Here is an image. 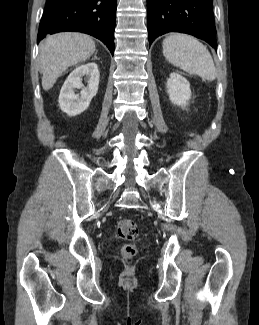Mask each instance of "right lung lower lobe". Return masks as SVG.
I'll return each instance as SVG.
<instances>
[{
    "label": "right lung lower lobe",
    "instance_id": "98d812e1",
    "mask_svg": "<svg viewBox=\"0 0 259 325\" xmlns=\"http://www.w3.org/2000/svg\"><path fill=\"white\" fill-rule=\"evenodd\" d=\"M117 0H46L37 42L63 31L90 34L114 53Z\"/></svg>",
    "mask_w": 259,
    "mask_h": 325
}]
</instances>
